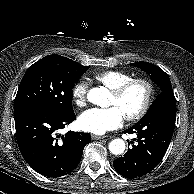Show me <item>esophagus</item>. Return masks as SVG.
Masks as SVG:
<instances>
[{"instance_id":"34e87169","label":"esophagus","mask_w":194,"mask_h":194,"mask_svg":"<svg viewBox=\"0 0 194 194\" xmlns=\"http://www.w3.org/2000/svg\"><path fill=\"white\" fill-rule=\"evenodd\" d=\"M104 138H105V136H99V135H95V134L91 135L92 140H100V139H104Z\"/></svg>"}]
</instances>
